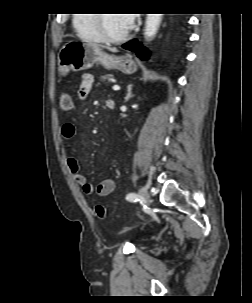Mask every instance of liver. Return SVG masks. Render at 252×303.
<instances>
[{"instance_id":"obj_1","label":"liver","mask_w":252,"mask_h":303,"mask_svg":"<svg viewBox=\"0 0 252 303\" xmlns=\"http://www.w3.org/2000/svg\"><path fill=\"white\" fill-rule=\"evenodd\" d=\"M109 50L112 51V52H115V51H116L115 48H110Z\"/></svg>"}]
</instances>
